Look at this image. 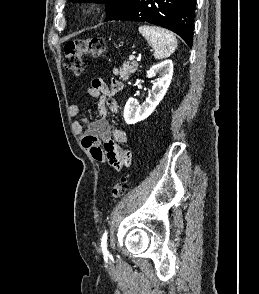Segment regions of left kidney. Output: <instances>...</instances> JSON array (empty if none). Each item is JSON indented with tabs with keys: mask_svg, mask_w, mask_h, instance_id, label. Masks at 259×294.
I'll list each match as a JSON object with an SVG mask.
<instances>
[{
	"mask_svg": "<svg viewBox=\"0 0 259 294\" xmlns=\"http://www.w3.org/2000/svg\"><path fill=\"white\" fill-rule=\"evenodd\" d=\"M159 74L156 82H153L152 94L145 102L139 105L134 98H129L124 107V120L127 124H135L149 117L157 105L162 101L173 76V62L170 59L154 65L148 71V77Z\"/></svg>",
	"mask_w": 259,
	"mask_h": 294,
	"instance_id": "1",
	"label": "left kidney"
}]
</instances>
